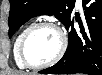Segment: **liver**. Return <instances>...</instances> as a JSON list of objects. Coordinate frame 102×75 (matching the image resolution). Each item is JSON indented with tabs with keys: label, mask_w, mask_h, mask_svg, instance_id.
I'll return each instance as SVG.
<instances>
[{
	"label": "liver",
	"mask_w": 102,
	"mask_h": 75,
	"mask_svg": "<svg viewBox=\"0 0 102 75\" xmlns=\"http://www.w3.org/2000/svg\"><path fill=\"white\" fill-rule=\"evenodd\" d=\"M10 75H25V74H23V73H21V72H13V73L10 74Z\"/></svg>",
	"instance_id": "obj_1"
}]
</instances>
